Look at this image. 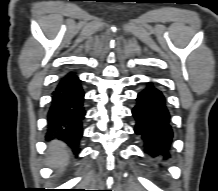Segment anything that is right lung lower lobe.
<instances>
[{"mask_svg": "<svg viewBox=\"0 0 218 191\" xmlns=\"http://www.w3.org/2000/svg\"><path fill=\"white\" fill-rule=\"evenodd\" d=\"M84 91L74 72L63 77L55 91L48 112L47 138H58L67 143L73 151L79 150L83 134L82 121L85 116L83 107Z\"/></svg>", "mask_w": 218, "mask_h": 191, "instance_id": "1", "label": "right lung lower lobe"}]
</instances>
